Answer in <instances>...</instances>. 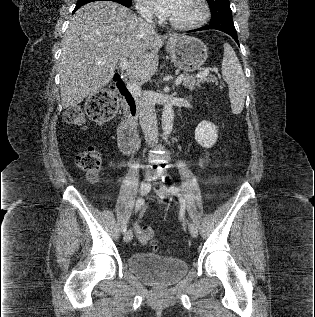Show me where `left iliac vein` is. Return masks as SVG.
<instances>
[{
    "mask_svg": "<svg viewBox=\"0 0 315 317\" xmlns=\"http://www.w3.org/2000/svg\"><path fill=\"white\" fill-rule=\"evenodd\" d=\"M156 193L160 197H169L171 195L169 189L166 187V185L161 184L159 189L156 190ZM189 231L192 237H197L198 236V228L196 224L192 221L189 222Z\"/></svg>",
    "mask_w": 315,
    "mask_h": 317,
    "instance_id": "obj_1",
    "label": "left iliac vein"
}]
</instances>
